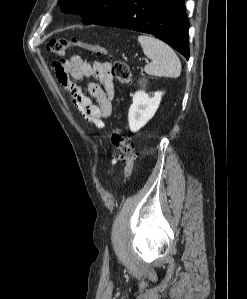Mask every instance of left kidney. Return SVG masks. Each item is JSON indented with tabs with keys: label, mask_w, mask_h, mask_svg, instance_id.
<instances>
[{
	"label": "left kidney",
	"mask_w": 247,
	"mask_h": 299,
	"mask_svg": "<svg viewBox=\"0 0 247 299\" xmlns=\"http://www.w3.org/2000/svg\"><path fill=\"white\" fill-rule=\"evenodd\" d=\"M163 93L155 92L151 97L144 91H137L133 95L132 105L128 112L129 128L137 132L155 115L161 102Z\"/></svg>",
	"instance_id": "1"
}]
</instances>
